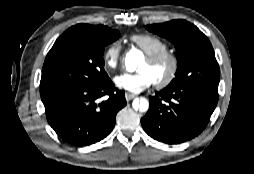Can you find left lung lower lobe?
<instances>
[{"instance_id": "1", "label": "left lung lower lobe", "mask_w": 254, "mask_h": 174, "mask_svg": "<svg viewBox=\"0 0 254 174\" xmlns=\"http://www.w3.org/2000/svg\"><path fill=\"white\" fill-rule=\"evenodd\" d=\"M217 102L218 85L164 88L149 98L150 107L141 124L155 140L166 144L182 143L205 129Z\"/></svg>"}]
</instances>
